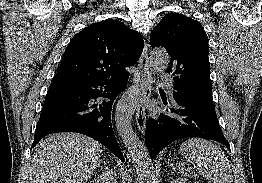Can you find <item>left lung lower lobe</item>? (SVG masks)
Segmentation results:
<instances>
[{
    "mask_svg": "<svg viewBox=\"0 0 262 183\" xmlns=\"http://www.w3.org/2000/svg\"><path fill=\"white\" fill-rule=\"evenodd\" d=\"M163 102L167 114H160L158 120L149 119L145 129V142L152 159L170 143L186 137L216 140L230 150L212 100L174 97L171 105Z\"/></svg>",
    "mask_w": 262,
    "mask_h": 183,
    "instance_id": "1",
    "label": "left lung lower lobe"
}]
</instances>
